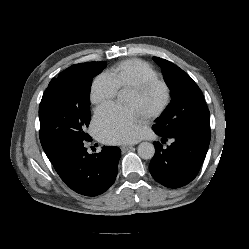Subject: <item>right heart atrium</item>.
<instances>
[{"mask_svg": "<svg viewBox=\"0 0 249 249\" xmlns=\"http://www.w3.org/2000/svg\"><path fill=\"white\" fill-rule=\"evenodd\" d=\"M118 86L108 73L98 75L90 88V100L95 105L110 102L118 93Z\"/></svg>", "mask_w": 249, "mask_h": 249, "instance_id": "1", "label": "right heart atrium"}]
</instances>
